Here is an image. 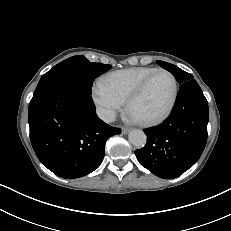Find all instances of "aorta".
Instances as JSON below:
<instances>
[{
    "label": "aorta",
    "mask_w": 231,
    "mask_h": 231,
    "mask_svg": "<svg viewBox=\"0 0 231 231\" xmlns=\"http://www.w3.org/2000/svg\"><path fill=\"white\" fill-rule=\"evenodd\" d=\"M129 142L137 148H141L146 144L147 137L142 130L135 129L129 133Z\"/></svg>",
    "instance_id": "1"
}]
</instances>
